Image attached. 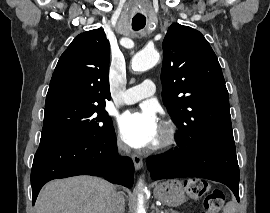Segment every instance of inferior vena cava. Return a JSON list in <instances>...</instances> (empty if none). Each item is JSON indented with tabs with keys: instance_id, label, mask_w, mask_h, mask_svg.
I'll return each instance as SVG.
<instances>
[{
	"instance_id": "602c4592",
	"label": "inferior vena cava",
	"mask_w": 270,
	"mask_h": 213,
	"mask_svg": "<svg viewBox=\"0 0 270 213\" xmlns=\"http://www.w3.org/2000/svg\"><path fill=\"white\" fill-rule=\"evenodd\" d=\"M118 149L119 151L129 153V148L125 145L119 144ZM124 211H125V199L121 194L114 191L110 198L109 213H124Z\"/></svg>"
}]
</instances>
